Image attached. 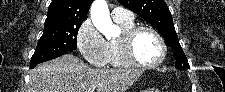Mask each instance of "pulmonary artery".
<instances>
[{
  "mask_svg": "<svg viewBox=\"0 0 225 92\" xmlns=\"http://www.w3.org/2000/svg\"><path fill=\"white\" fill-rule=\"evenodd\" d=\"M112 18L114 21H132L134 19V15L131 11L125 8L115 7L112 10Z\"/></svg>",
  "mask_w": 225,
  "mask_h": 92,
  "instance_id": "pulmonary-artery-1",
  "label": "pulmonary artery"
}]
</instances>
